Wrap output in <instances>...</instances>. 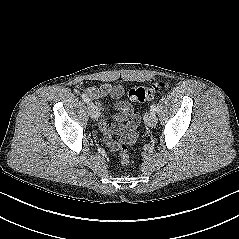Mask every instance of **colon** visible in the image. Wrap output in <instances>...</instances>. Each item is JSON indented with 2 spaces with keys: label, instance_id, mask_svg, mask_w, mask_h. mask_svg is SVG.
Masks as SVG:
<instances>
[{
  "label": "colon",
  "instance_id": "5ec220e1",
  "mask_svg": "<svg viewBox=\"0 0 239 239\" xmlns=\"http://www.w3.org/2000/svg\"><path fill=\"white\" fill-rule=\"evenodd\" d=\"M164 87V83L161 81L155 82L148 87H134L128 92V98L132 102H145L152 100L154 96ZM139 122V117L136 116L134 119ZM119 151V160L123 166L130 163V154L128 147L125 143H119L117 145Z\"/></svg>",
  "mask_w": 239,
  "mask_h": 239
}]
</instances>
